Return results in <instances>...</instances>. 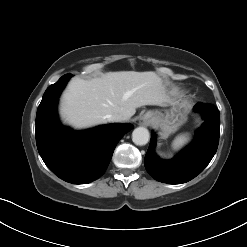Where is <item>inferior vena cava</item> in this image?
<instances>
[{"mask_svg":"<svg viewBox=\"0 0 247 247\" xmlns=\"http://www.w3.org/2000/svg\"><path fill=\"white\" fill-rule=\"evenodd\" d=\"M126 119H127L126 116H124L123 114H119V113L107 115V120L111 122H121Z\"/></svg>","mask_w":247,"mask_h":247,"instance_id":"1","label":"inferior vena cava"}]
</instances>
